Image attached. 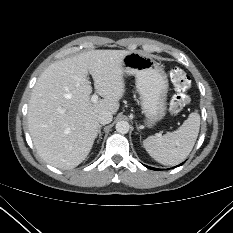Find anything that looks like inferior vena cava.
<instances>
[{
	"label": "inferior vena cava",
	"instance_id": "1",
	"mask_svg": "<svg viewBox=\"0 0 233 233\" xmlns=\"http://www.w3.org/2000/svg\"><path fill=\"white\" fill-rule=\"evenodd\" d=\"M112 113L109 111H102L98 116V121L100 124L105 125L112 121Z\"/></svg>",
	"mask_w": 233,
	"mask_h": 233
}]
</instances>
